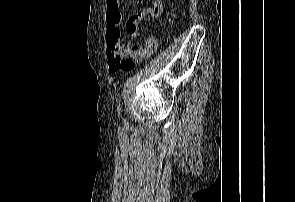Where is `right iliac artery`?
<instances>
[{"instance_id":"1","label":"right iliac artery","mask_w":295,"mask_h":202,"mask_svg":"<svg viewBox=\"0 0 295 202\" xmlns=\"http://www.w3.org/2000/svg\"><path fill=\"white\" fill-rule=\"evenodd\" d=\"M118 111H120V108H119V106H118Z\"/></svg>"}]
</instances>
